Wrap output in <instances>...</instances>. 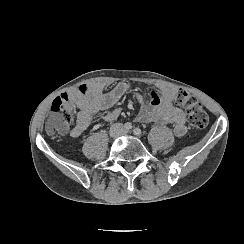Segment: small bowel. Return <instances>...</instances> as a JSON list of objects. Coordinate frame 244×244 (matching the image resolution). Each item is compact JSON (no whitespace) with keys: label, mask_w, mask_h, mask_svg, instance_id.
<instances>
[{"label":"small bowel","mask_w":244,"mask_h":244,"mask_svg":"<svg viewBox=\"0 0 244 244\" xmlns=\"http://www.w3.org/2000/svg\"><path fill=\"white\" fill-rule=\"evenodd\" d=\"M108 85L109 82L96 81L68 93L78 110L75 125L71 130L73 137H78L84 133L100 112L113 107L127 95H132L140 104L136 121L154 123L162 127L171 126L172 132L177 138H182L187 134L185 112L173 103L177 94L175 88L162 85L158 89L141 92L126 82H119L110 91L104 92ZM120 114V109H114L107 112L102 120L108 123L114 122Z\"/></svg>","instance_id":"1"}]
</instances>
